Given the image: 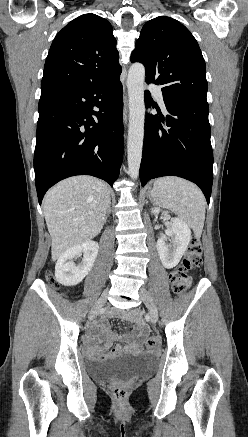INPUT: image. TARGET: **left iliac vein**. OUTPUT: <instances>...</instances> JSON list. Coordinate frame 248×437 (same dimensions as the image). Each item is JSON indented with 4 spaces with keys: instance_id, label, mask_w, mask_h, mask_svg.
<instances>
[{
    "instance_id": "obj_1",
    "label": "left iliac vein",
    "mask_w": 248,
    "mask_h": 437,
    "mask_svg": "<svg viewBox=\"0 0 248 437\" xmlns=\"http://www.w3.org/2000/svg\"><path fill=\"white\" fill-rule=\"evenodd\" d=\"M140 297L143 300V302L145 303V305L149 311L151 321L156 322L158 319V312H157V307H156V304H155L152 296L145 288H141L140 289Z\"/></svg>"
}]
</instances>
